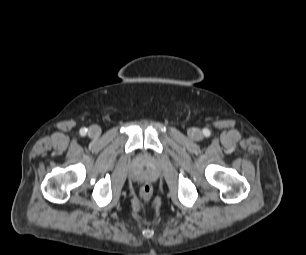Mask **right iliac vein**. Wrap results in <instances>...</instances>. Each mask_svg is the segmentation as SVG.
<instances>
[{
    "instance_id": "obj_1",
    "label": "right iliac vein",
    "mask_w": 306,
    "mask_h": 255,
    "mask_svg": "<svg viewBox=\"0 0 306 255\" xmlns=\"http://www.w3.org/2000/svg\"><path fill=\"white\" fill-rule=\"evenodd\" d=\"M88 134L92 138L98 137L101 134V128L97 125H93L89 128Z\"/></svg>"
}]
</instances>
